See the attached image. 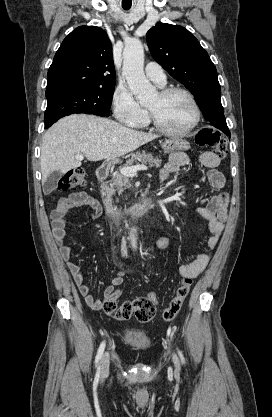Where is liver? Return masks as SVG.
<instances>
[{"mask_svg": "<svg viewBox=\"0 0 272 417\" xmlns=\"http://www.w3.org/2000/svg\"><path fill=\"white\" fill-rule=\"evenodd\" d=\"M158 137L94 115L64 117L43 136L40 156L42 184L54 171L66 173L80 167L81 161L75 159L76 154H83L89 161L116 159Z\"/></svg>", "mask_w": 272, "mask_h": 417, "instance_id": "1", "label": "liver"}]
</instances>
